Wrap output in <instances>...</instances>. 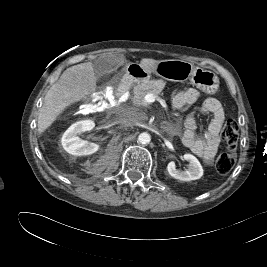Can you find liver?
Returning a JSON list of instances; mask_svg holds the SVG:
<instances>
[{
	"label": "liver",
	"mask_w": 267,
	"mask_h": 267,
	"mask_svg": "<svg viewBox=\"0 0 267 267\" xmlns=\"http://www.w3.org/2000/svg\"><path fill=\"white\" fill-rule=\"evenodd\" d=\"M157 63V60L151 58L140 61V65L148 71H153ZM95 90L96 76L92 62L67 68L45 95L38 115V132L42 134L72 104L79 101L89 102Z\"/></svg>",
	"instance_id": "liver-1"
}]
</instances>
